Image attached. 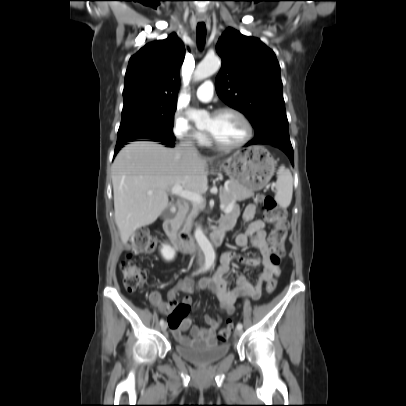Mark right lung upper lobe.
Masks as SVG:
<instances>
[{
    "mask_svg": "<svg viewBox=\"0 0 406 406\" xmlns=\"http://www.w3.org/2000/svg\"><path fill=\"white\" fill-rule=\"evenodd\" d=\"M184 57V45L175 33L142 47L129 60L124 108L142 104L176 105L179 70Z\"/></svg>",
    "mask_w": 406,
    "mask_h": 406,
    "instance_id": "right-lung-upper-lobe-1",
    "label": "right lung upper lobe"
}]
</instances>
